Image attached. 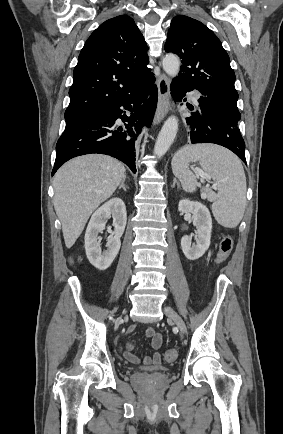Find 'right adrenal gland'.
Listing matches in <instances>:
<instances>
[{"mask_svg": "<svg viewBox=\"0 0 283 434\" xmlns=\"http://www.w3.org/2000/svg\"><path fill=\"white\" fill-rule=\"evenodd\" d=\"M125 180H126V175H124V177H123V179H122V181H121V184H120V186H119V189L122 188V189L126 192V187H125V185H124Z\"/></svg>", "mask_w": 283, "mask_h": 434, "instance_id": "1", "label": "right adrenal gland"}]
</instances>
